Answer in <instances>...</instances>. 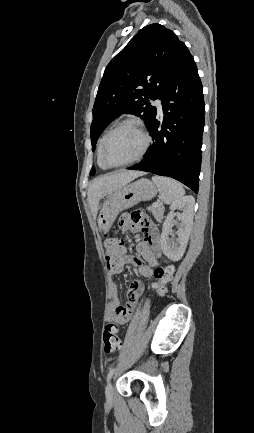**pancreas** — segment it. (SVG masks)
<instances>
[{
	"mask_svg": "<svg viewBox=\"0 0 254 433\" xmlns=\"http://www.w3.org/2000/svg\"><path fill=\"white\" fill-rule=\"evenodd\" d=\"M147 209L152 213L156 220L159 221L162 219L164 213V206L161 203H159L157 206H149Z\"/></svg>",
	"mask_w": 254,
	"mask_h": 433,
	"instance_id": "pancreas-1",
	"label": "pancreas"
}]
</instances>
